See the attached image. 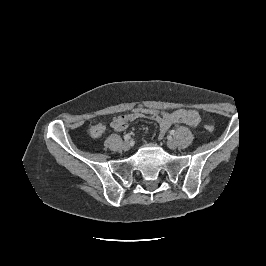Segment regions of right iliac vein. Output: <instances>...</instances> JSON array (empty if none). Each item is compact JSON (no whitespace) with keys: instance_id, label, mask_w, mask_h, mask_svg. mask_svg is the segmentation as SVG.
Masks as SVG:
<instances>
[{"instance_id":"1","label":"right iliac vein","mask_w":266,"mask_h":266,"mask_svg":"<svg viewBox=\"0 0 266 266\" xmlns=\"http://www.w3.org/2000/svg\"><path fill=\"white\" fill-rule=\"evenodd\" d=\"M122 147H123L124 150H129L131 148L130 141H128V140L124 141L123 144H122Z\"/></svg>"}]
</instances>
